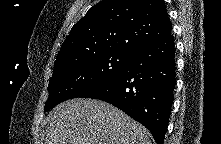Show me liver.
Listing matches in <instances>:
<instances>
[{"label": "liver", "mask_w": 221, "mask_h": 144, "mask_svg": "<svg viewBox=\"0 0 221 144\" xmlns=\"http://www.w3.org/2000/svg\"><path fill=\"white\" fill-rule=\"evenodd\" d=\"M47 121L45 144H151L143 125L96 99L63 102Z\"/></svg>", "instance_id": "1"}]
</instances>
